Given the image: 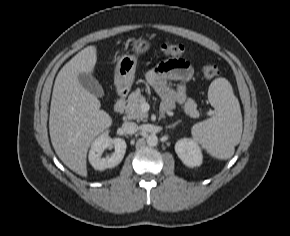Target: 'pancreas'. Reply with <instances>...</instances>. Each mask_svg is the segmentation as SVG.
Wrapping results in <instances>:
<instances>
[{
  "mask_svg": "<svg viewBox=\"0 0 290 236\" xmlns=\"http://www.w3.org/2000/svg\"><path fill=\"white\" fill-rule=\"evenodd\" d=\"M146 102V98L141 94L140 90L132 92L127 100V105L125 107L126 117L128 119L136 120H146L148 118V113L144 112L141 106ZM184 112L192 117L198 118L199 112L197 110V104L191 98L187 99L183 106Z\"/></svg>",
  "mask_w": 290,
  "mask_h": 236,
  "instance_id": "cf45deb5",
  "label": "pancreas"
}]
</instances>
